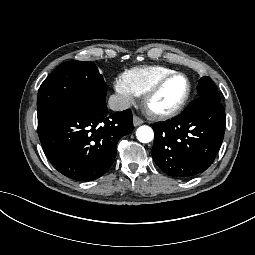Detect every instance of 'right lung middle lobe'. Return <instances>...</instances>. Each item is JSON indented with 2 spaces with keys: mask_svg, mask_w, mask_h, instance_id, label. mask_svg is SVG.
Returning <instances> with one entry per match:
<instances>
[{
  "mask_svg": "<svg viewBox=\"0 0 255 255\" xmlns=\"http://www.w3.org/2000/svg\"><path fill=\"white\" fill-rule=\"evenodd\" d=\"M107 86L97 66L90 61L60 64L41 84L37 96L38 116L68 100H81L96 109L106 108Z\"/></svg>",
  "mask_w": 255,
  "mask_h": 255,
  "instance_id": "right-lung-middle-lobe-1",
  "label": "right lung middle lobe"
}]
</instances>
